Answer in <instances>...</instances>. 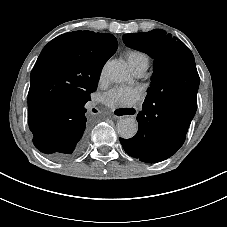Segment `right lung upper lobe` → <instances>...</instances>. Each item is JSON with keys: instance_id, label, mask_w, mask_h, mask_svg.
<instances>
[{"instance_id": "1", "label": "right lung upper lobe", "mask_w": 227, "mask_h": 227, "mask_svg": "<svg viewBox=\"0 0 227 227\" xmlns=\"http://www.w3.org/2000/svg\"><path fill=\"white\" fill-rule=\"evenodd\" d=\"M116 49L112 34L92 31L65 33L44 47L30 75L28 118L33 135L48 128L66 102L96 90L102 66Z\"/></svg>"}]
</instances>
